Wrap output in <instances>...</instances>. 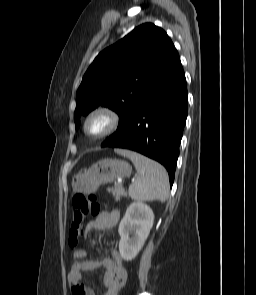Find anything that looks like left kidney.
Here are the masks:
<instances>
[{
	"label": "left kidney",
	"instance_id": "left-kidney-1",
	"mask_svg": "<svg viewBox=\"0 0 256 295\" xmlns=\"http://www.w3.org/2000/svg\"><path fill=\"white\" fill-rule=\"evenodd\" d=\"M153 222L154 214L147 204L137 201L129 205L118 228L119 252L124 260L131 261L137 256L150 233Z\"/></svg>",
	"mask_w": 256,
	"mask_h": 295
}]
</instances>
